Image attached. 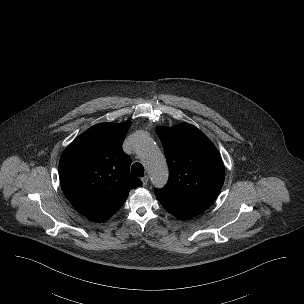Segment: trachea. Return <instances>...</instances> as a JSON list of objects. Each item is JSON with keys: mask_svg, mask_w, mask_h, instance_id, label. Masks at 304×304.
I'll list each match as a JSON object with an SVG mask.
<instances>
[{"mask_svg": "<svg viewBox=\"0 0 304 304\" xmlns=\"http://www.w3.org/2000/svg\"><path fill=\"white\" fill-rule=\"evenodd\" d=\"M131 172L133 175L137 177H143L144 175V167L140 163H134L131 167Z\"/></svg>", "mask_w": 304, "mask_h": 304, "instance_id": "3493384b", "label": "trachea"}]
</instances>
